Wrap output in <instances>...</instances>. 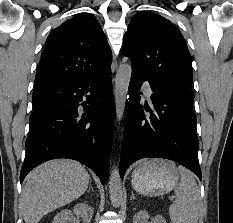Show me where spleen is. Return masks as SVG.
Here are the masks:
<instances>
[{"label": "spleen", "instance_id": "spleen-1", "mask_svg": "<svg viewBox=\"0 0 233 223\" xmlns=\"http://www.w3.org/2000/svg\"><path fill=\"white\" fill-rule=\"evenodd\" d=\"M181 181L175 187L176 199L169 207L172 223H197L200 211V191L193 173L180 167Z\"/></svg>", "mask_w": 233, "mask_h": 223}]
</instances>
